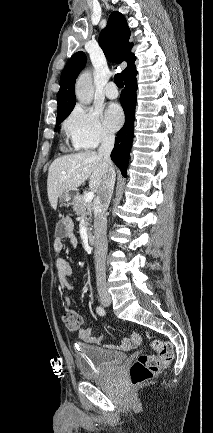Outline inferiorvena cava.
Returning <instances> with one entry per match:
<instances>
[{
    "label": "inferior vena cava",
    "mask_w": 213,
    "mask_h": 433,
    "mask_svg": "<svg viewBox=\"0 0 213 433\" xmlns=\"http://www.w3.org/2000/svg\"><path fill=\"white\" fill-rule=\"evenodd\" d=\"M114 135L103 133L98 155L103 158L104 177L99 190L98 197L94 202V237H95V269L96 283L99 293L107 292L106 287V255H107V219L106 211L111 201L115 184V170L113 168L110 154L114 146Z\"/></svg>",
    "instance_id": "1"
}]
</instances>
